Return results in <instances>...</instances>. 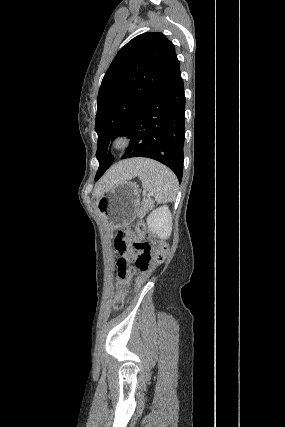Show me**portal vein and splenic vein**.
<instances>
[{"mask_svg":"<svg viewBox=\"0 0 285 427\" xmlns=\"http://www.w3.org/2000/svg\"><path fill=\"white\" fill-rule=\"evenodd\" d=\"M143 195H146V192H143Z\"/></svg>","mask_w":285,"mask_h":427,"instance_id":"18ae733b","label":"portal vein and splenic vein"}]
</instances>
